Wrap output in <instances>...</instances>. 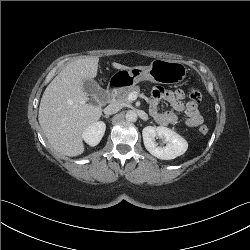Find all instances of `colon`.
<instances>
[{
    "label": "colon",
    "mask_w": 250,
    "mask_h": 250,
    "mask_svg": "<svg viewBox=\"0 0 250 250\" xmlns=\"http://www.w3.org/2000/svg\"><path fill=\"white\" fill-rule=\"evenodd\" d=\"M188 96L194 103H200L202 100L201 92L195 87H190L188 89ZM199 132L203 135L208 133V127L203 125L199 128Z\"/></svg>",
    "instance_id": "colon-1"
}]
</instances>
